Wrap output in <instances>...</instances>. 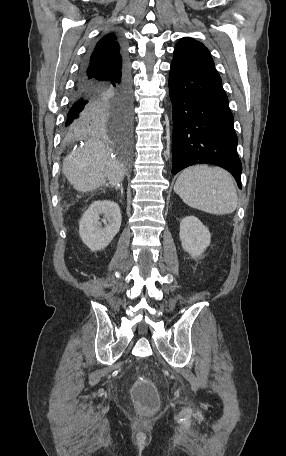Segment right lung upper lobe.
Segmentation results:
<instances>
[{
	"mask_svg": "<svg viewBox=\"0 0 286 456\" xmlns=\"http://www.w3.org/2000/svg\"><path fill=\"white\" fill-rule=\"evenodd\" d=\"M86 69L91 76L101 79L111 73L120 74L127 69L115 34L109 33L98 41L87 59Z\"/></svg>",
	"mask_w": 286,
	"mask_h": 456,
	"instance_id": "right-lung-upper-lobe-1",
	"label": "right lung upper lobe"
}]
</instances>
